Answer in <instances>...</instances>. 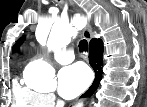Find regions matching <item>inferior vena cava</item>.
<instances>
[{
  "instance_id": "obj_1",
  "label": "inferior vena cava",
  "mask_w": 147,
  "mask_h": 107,
  "mask_svg": "<svg viewBox=\"0 0 147 107\" xmlns=\"http://www.w3.org/2000/svg\"><path fill=\"white\" fill-rule=\"evenodd\" d=\"M63 105H64V102H63V101H60V102L58 103V106H57V107H63Z\"/></svg>"
}]
</instances>
